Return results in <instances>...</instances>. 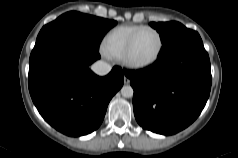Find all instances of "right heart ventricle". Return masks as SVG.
<instances>
[{"label": "right heart ventricle", "mask_w": 238, "mask_h": 158, "mask_svg": "<svg viewBox=\"0 0 238 158\" xmlns=\"http://www.w3.org/2000/svg\"><path fill=\"white\" fill-rule=\"evenodd\" d=\"M142 27L144 26L121 25L111 29L103 39V52L110 57L121 59L130 38Z\"/></svg>", "instance_id": "1"}]
</instances>
